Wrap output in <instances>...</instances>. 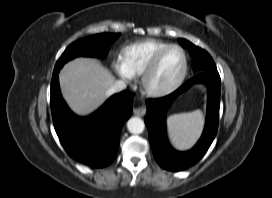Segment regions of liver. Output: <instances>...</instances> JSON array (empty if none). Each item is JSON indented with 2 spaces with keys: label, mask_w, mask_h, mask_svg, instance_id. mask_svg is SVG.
I'll list each match as a JSON object with an SVG mask.
<instances>
[{
  "label": "liver",
  "mask_w": 272,
  "mask_h": 198,
  "mask_svg": "<svg viewBox=\"0 0 272 198\" xmlns=\"http://www.w3.org/2000/svg\"><path fill=\"white\" fill-rule=\"evenodd\" d=\"M59 81L69 107L76 114L85 116L104 102L115 79L95 59L77 58L63 67Z\"/></svg>",
  "instance_id": "1"
}]
</instances>
